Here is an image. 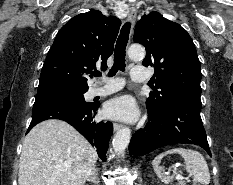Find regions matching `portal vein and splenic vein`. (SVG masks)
Here are the masks:
<instances>
[{"instance_id": "1", "label": "portal vein and splenic vein", "mask_w": 233, "mask_h": 185, "mask_svg": "<svg viewBox=\"0 0 233 185\" xmlns=\"http://www.w3.org/2000/svg\"><path fill=\"white\" fill-rule=\"evenodd\" d=\"M177 180H180L183 178V176L180 173L174 172L173 174Z\"/></svg>"}]
</instances>
